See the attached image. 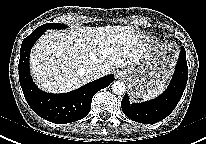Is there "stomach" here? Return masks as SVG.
I'll return each instance as SVG.
<instances>
[{"instance_id":"stomach-1","label":"stomach","mask_w":206,"mask_h":144,"mask_svg":"<svg viewBox=\"0 0 206 144\" xmlns=\"http://www.w3.org/2000/svg\"><path fill=\"white\" fill-rule=\"evenodd\" d=\"M175 59L176 52L171 45L153 48L143 54L137 63L124 71L130 94L141 98L163 85L172 73Z\"/></svg>"}]
</instances>
